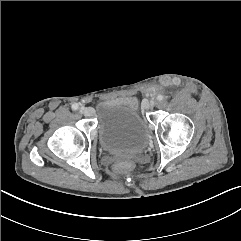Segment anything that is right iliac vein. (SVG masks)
Listing matches in <instances>:
<instances>
[{
  "mask_svg": "<svg viewBox=\"0 0 241 241\" xmlns=\"http://www.w3.org/2000/svg\"><path fill=\"white\" fill-rule=\"evenodd\" d=\"M79 111H80V113L84 114L85 116H90V114H91V110L89 108L81 107Z\"/></svg>",
  "mask_w": 241,
  "mask_h": 241,
  "instance_id": "63e3f726",
  "label": "right iliac vein"
}]
</instances>
